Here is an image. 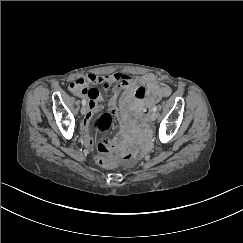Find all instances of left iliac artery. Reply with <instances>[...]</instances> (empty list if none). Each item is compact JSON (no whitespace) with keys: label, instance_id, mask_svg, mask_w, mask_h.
<instances>
[{"label":"left iliac artery","instance_id":"44dca946","mask_svg":"<svg viewBox=\"0 0 243 243\" xmlns=\"http://www.w3.org/2000/svg\"><path fill=\"white\" fill-rule=\"evenodd\" d=\"M152 110H153V112H156L157 111V106H154Z\"/></svg>","mask_w":243,"mask_h":243}]
</instances>
